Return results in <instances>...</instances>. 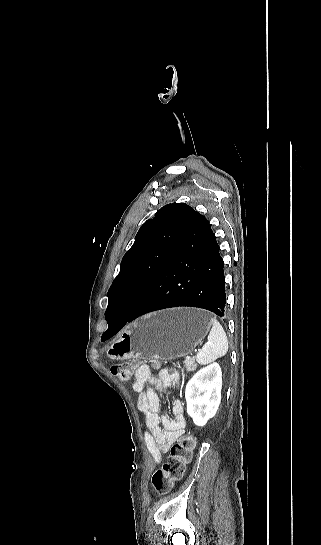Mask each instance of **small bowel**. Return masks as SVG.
Wrapping results in <instances>:
<instances>
[{
  "label": "small bowel",
  "mask_w": 321,
  "mask_h": 545,
  "mask_svg": "<svg viewBox=\"0 0 321 545\" xmlns=\"http://www.w3.org/2000/svg\"><path fill=\"white\" fill-rule=\"evenodd\" d=\"M178 374L172 369H164L157 375L149 365H141L135 373L133 389L138 393V409L144 413L148 431L144 438L156 464L166 454L173 442L185 433L186 419L183 403L176 400L172 406V416L161 413L159 393L169 386L176 385ZM151 385V388L146 387Z\"/></svg>",
  "instance_id": "small-bowel-1"
}]
</instances>
